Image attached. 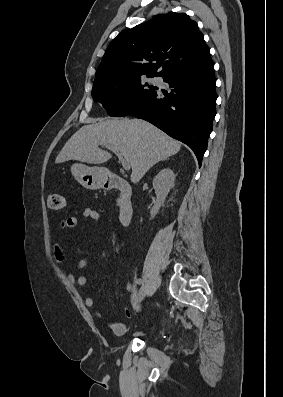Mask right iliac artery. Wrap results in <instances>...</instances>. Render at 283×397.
Returning a JSON list of instances; mask_svg holds the SVG:
<instances>
[{
	"label": "right iliac artery",
	"mask_w": 283,
	"mask_h": 397,
	"mask_svg": "<svg viewBox=\"0 0 283 397\" xmlns=\"http://www.w3.org/2000/svg\"><path fill=\"white\" fill-rule=\"evenodd\" d=\"M136 283H137V284H141V283H142V280H141V279H138V280L136 281Z\"/></svg>",
	"instance_id": "obj_1"
}]
</instances>
